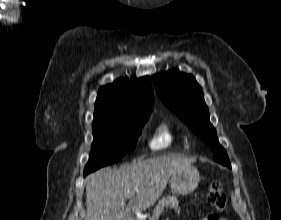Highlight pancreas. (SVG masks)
Returning a JSON list of instances; mask_svg holds the SVG:
<instances>
[{"instance_id": "pancreas-1", "label": "pancreas", "mask_w": 281, "mask_h": 220, "mask_svg": "<svg viewBox=\"0 0 281 220\" xmlns=\"http://www.w3.org/2000/svg\"><path fill=\"white\" fill-rule=\"evenodd\" d=\"M166 208H173L175 211L180 212L179 203L176 197L168 195L159 200L156 208L153 211V215L149 220H158L160 215Z\"/></svg>"}]
</instances>
